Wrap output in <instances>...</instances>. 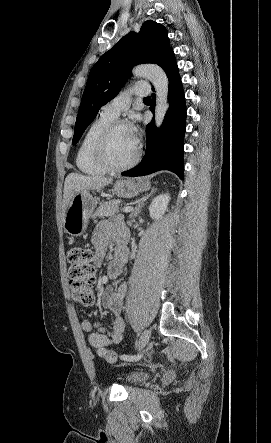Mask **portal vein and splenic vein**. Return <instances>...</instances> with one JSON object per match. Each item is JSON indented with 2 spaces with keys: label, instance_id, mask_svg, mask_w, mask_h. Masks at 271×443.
Listing matches in <instances>:
<instances>
[{
  "label": "portal vein and splenic vein",
  "instance_id": "obj_1",
  "mask_svg": "<svg viewBox=\"0 0 271 443\" xmlns=\"http://www.w3.org/2000/svg\"><path fill=\"white\" fill-rule=\"evenodd\" d=\"M132 210V206H127V208H124V212H132Z\"/></svg>",
  "mask_w": 271,
  "mask_h": 443
}]
</instances>
